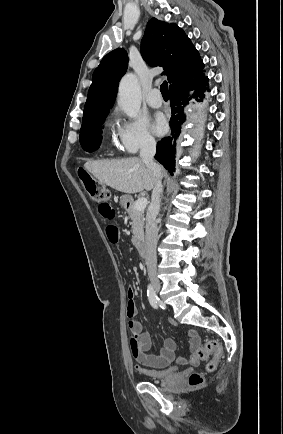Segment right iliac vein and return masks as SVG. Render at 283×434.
I'll return each mask as SVG.
<instances>
[{"label": "right iliac vein", "mask_w": 283, "mask_h": 434, "mask_svg": "<svg viewBox=\"0 0 283 434\" xmlns=\"http://www.w3.org/2000/svg\"><path fill=\"white\" fill-rule=\"evenodd\" d=\"M152 285H153V288H154L155 292L159 293V291H160V283L157 282V281H154L152 283Z\"/></svg>", "instance_id": "obj_1"}]
</instances>
